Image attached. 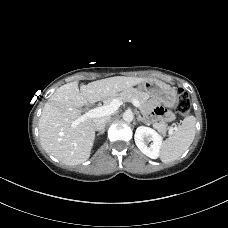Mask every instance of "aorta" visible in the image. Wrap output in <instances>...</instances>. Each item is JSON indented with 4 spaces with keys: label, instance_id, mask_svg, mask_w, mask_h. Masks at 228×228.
Masks as SVG:
<instances>
[{
    "label": "aorta",
    "instance_id": "1",
    "mask_svg": "<svg viewBox=\"0 0 228 228\" xmlns=\"http://www.w3.org/2000/svg\"><path fill=\"white\" fill-rule=\"evenodd\" d=\"M123 119L126 122H132V120H133V113L131 111H125L123 113Z\"/></svg>",
    "mask_w": 228,
    "mask_h": 228
}]
</instances>
